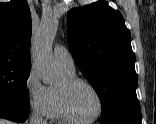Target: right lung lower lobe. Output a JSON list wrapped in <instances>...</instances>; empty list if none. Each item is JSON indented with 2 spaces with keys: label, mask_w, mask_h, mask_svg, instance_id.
Wrapping results in <instances>:
<instances>
[{
  "label": "right lung lower lobe",
  "mask_w": 156,
  "mask_h": 124,
  "mask_svg": "<svg viewBox=\"0 0 156 124\" xmlns=\"http://www.w3.org/2000/svg\"><path fill=\"white\" fill-rule=\"evenodd\" d=\"M30 104L0 97V118L23 122L29 115Z\"/></svg>",
  "instance_id": "98d812e1"
}]
</instances>
